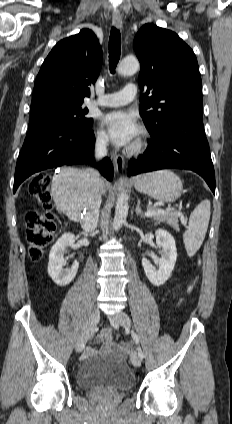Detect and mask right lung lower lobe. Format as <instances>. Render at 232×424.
<instances>
[{"instance_id":"1","label":"right lung lower lobe","mask_w":232,"mask_h":424,"mask_svg":"<svg viewBox=\"0 0 232 424\" xmlns=\"http://www.w3.org/2000/svg\"><path fill=\"white\" fill-rule=\"evenodd\" d=\"M94 144L95 136L91 129H29L17 160L13 192L27 177L41 170L93 161ZM98 169L104 177L112 180L114 169L108 158L99 163Z\"/></svg>"}]
</instances>
